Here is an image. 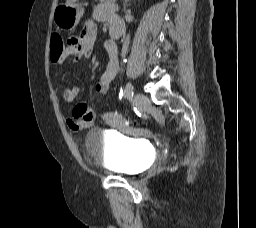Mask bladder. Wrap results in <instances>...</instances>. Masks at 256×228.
<instances>
[{
    "instance_id": "obj_1",
    "label": "bladder",
    "mask_w": 256,
    "mask_h": 228,
    "mask_svg": "<svg viewBox=\"0 0 256 228\" xmlns=\"http://www.w3.org/2000/svg\"><path fill=\"white\" fill-rule=\"evenodd\" d=\"M91 161L117 174L134 176L143 172L149 162V150L142 143L107 137L101 129L93 128L85 138Z\"/></svg>"
}]
</instances>
